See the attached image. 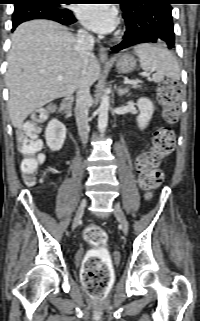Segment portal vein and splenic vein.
<instances>
[{
  "instance_id": "18ae733b",
  "label": "portal vein and splenic vein",
  "mask_w": 200,
  "mask_h": 321,
  "mask_svg": "<svg viewBox=\"0 0 200 321\" xmlns=\"http://www.w3.org/2000/svg\"><path fill=\"white\" fill-rule=\"evenodd\" d=\"M142 75H149V74H145V73H142ZM58 80H62V77L61 76H59L58 77ZM139 81L138 80H130V79H126V80H124V84H137Z\"/></svg>"
}]
</instances>
